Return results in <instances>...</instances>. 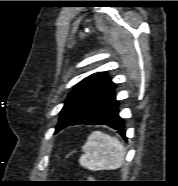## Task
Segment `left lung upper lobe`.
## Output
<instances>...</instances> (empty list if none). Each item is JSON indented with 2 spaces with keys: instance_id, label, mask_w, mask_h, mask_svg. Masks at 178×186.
Returning <instances> with one entry per match:
<instances>
[{
  "instance_id": "1",
  "label": "left lung upper lobe",
  "mask_w": 178,
  "mask_h": 186,
  "mask_svg": "<svg viewBox=\"0 0 178 186\" xmlns=\"http://www.w3.org/2000/svg\"><path fill=\"white\" fill-rule=\"evenodd\" d=\"M115 88L116 84L105 72L94 73L83 79L69 93L55 132L64 128L81 113L114 95Z\"/></svg>"
}]
</instances>
